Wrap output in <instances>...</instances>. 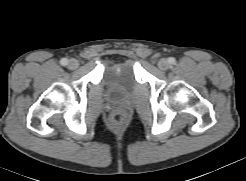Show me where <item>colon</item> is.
I'll return each instance as SVG.
<instances>
[{
  "label": "colon",
  "mask_w": 246,
  "mask_h": 181,
  "mask_svg": "<svg viewBox=\"0 0 246 181\" xmlns=\"http://www.w3.org/2000/svg\"><path fill=\"white\" fill-rule=\"evenodd\" d=\"M111 124L115 128H120L125 124V116L122 113H115L111 117Z\"/></svg>",
  "instance_id": "colon-1"
}]
</instances>
